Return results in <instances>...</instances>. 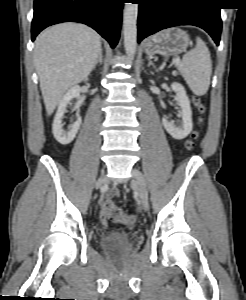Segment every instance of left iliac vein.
I'll return each instance as SVG.
<instances>
[{"label": "left iliac vein", "mask_w": 246, "mask_h": 300, "mask_svg": "<svg viewBox=\"0 0 246 300\" xmlns=\"http://www.w3.org/2000/svg\"><path fill=\"white\" fill-rule=\"evenodd\" d=\"M132 185L136 187L139 198H140V204L143 207L144 210L148 209V190L146 186V181L143 176V174L136 168L132 170Z\"/></svg>", "instance_id": "left-iliac-vein-1"}]
</instances>
